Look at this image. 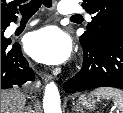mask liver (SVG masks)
<instances>
[{"instance_id":"1","label":"liver","mask_w":123,"mask_h":113,"mask_svg":"<svg viewBox=\"0 0 123 113\" xmlns=\"http://www.w3.org/2000/svg\"><path fill=\"white\" fill-rule=\"evenodd\" d=\"M26 96L20 90H1V113H24Z\"/></svg>"}]
</instances>
